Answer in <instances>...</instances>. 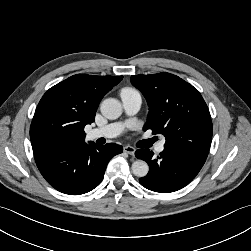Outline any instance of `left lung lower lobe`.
<instances>
[{"instance_id": "obj_1", "label": "left lung lower lobe", "mask_w": 251, "mask_h": 251, "mask_svg": "<svg viewBox=\"0 0 251 251\" xmlns=\"http://www.w3.org/2000/svg\"><path fill=\"white\" fill-rule=\"evenodd\" d=\"M135 155L149 165V173L139 179L140 184L155 192L169 193L182 189L196 177L208 151L199 147L164 146L157 157L150 149L137 150Z\"/></svg>"}]
</instances>
